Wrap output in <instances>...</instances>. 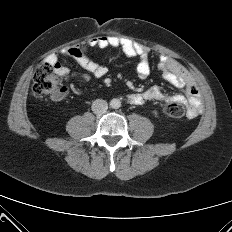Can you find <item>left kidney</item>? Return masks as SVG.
<instances>
[{
    "label": "left kidney",
    "mask_w": 232,
    "mask_h": 232,
    "mask_svg": "<svg viewBox=\"0 0 232 232\" xmlns=\"http://www.w3.org/2000/svg\"><path fill=\"white\" fill-rule=\"evenodd\" d=\"M154 114H155V115H157V112H156V111H154Z\"/></svg>",
    "instance_id": "obj_1"
}]
</instances>
